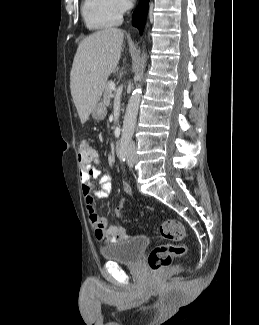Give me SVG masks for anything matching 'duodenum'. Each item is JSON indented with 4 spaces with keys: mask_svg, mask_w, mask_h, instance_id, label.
<instances>
[{
    "mask_svg": "<svg viewBox=\"0 0 259 325\" xmlns=\"http://www.w3.org/2000/svg\"><path fill=\"white\" fill-rule=\"evenodd\" d=\"M123 144H124V140L122 138L118 139L115 143V151L117 154L120 153L122 147H123Z\"/></svg>",
    "mask_w": 259,
    "mask_h": 325,
    "instance_id": "1",
    "label": "duodenum"
}]
</instances>
